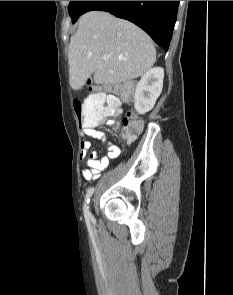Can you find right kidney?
I'll return each mask as SVG.
<instances>
[{
    "label": "right kidney",
    "mask_w": 233,
    "mask_h": 295,
    "mask_svg": "<svg viewBox=\"0 0 233 295\" xmlns=\"http://www.w3.org/2000/svg\"><path fill=\"white\" fill-rule=\"evenodd\" d=\"M164 70L154 67L148 70L135 87L134 107L139 114L150 111L160 96L163 87Z\"/></svg>",
    "instance_id": "ca27d5eb"
}]
</instances>
